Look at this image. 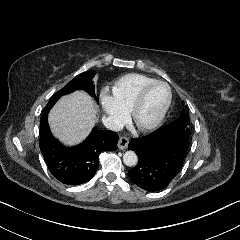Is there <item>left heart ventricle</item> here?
Listing matches in <instances>:
<instances>
[{"label": "left heart ventricle", "mask_w": 240, "mask_h": 240, "mask_svg": "<svg viewBox=\"0 0 240 240\" xmlns=\"http://www.w3.org/2000/svg\"><path fill=\"white\" fill-rule=\"evenodd\" d=\"M167 96V90L164 86H154L147 95L144 105L138 114V121L146 123L157 115Z\"/></svg>", "instance_id": "obj_1"}]
</instances>
